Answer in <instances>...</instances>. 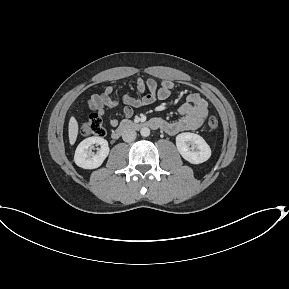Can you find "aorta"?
Returning a JSON list of instances; mask_svg holds the SVG:
<instances>
[{
	"instance_id": "obj_1",
	"label": "aorta",
	"mask_w": 289,
	"mask_h": 289,
	"mask_svg": "<svg viewBox=\"0 0 289 289\" xmlns=\"http://www.w3.org/2000/svg\"><path fill=\"white\" fill-rule=\"evenodd\" d=\"M140 134L143 136V137H147L150 135V129L147 128V127H144L140 130Z\"/></svg>"
}]
</instances>
